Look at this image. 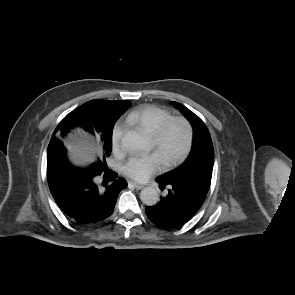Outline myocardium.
Masks as SVG:
<instances>
[{
  "label": "myocardium",
  "mask_w": 295,
  "mask_h": 295,
  "mask_svg": "<svg viewBox=\"0 0 295 295\" xmlns=\"http://www.w3.org/2000/svg\"><path fill=\"white\" fill-rule=\"evenodd\" d=\"M174 125H177L184 130L185 143L181 152L177 156L164 162V167L166 169L173 168L182 163L190 153L193 143V128L190 122L183 117H171L170 119L165 121L159 127V129L152 135V143L154 145L155 150H158L162 146L169 130Z\"/></svg>",
  "instance_id": "myocardium-1"
}]
</instances>
